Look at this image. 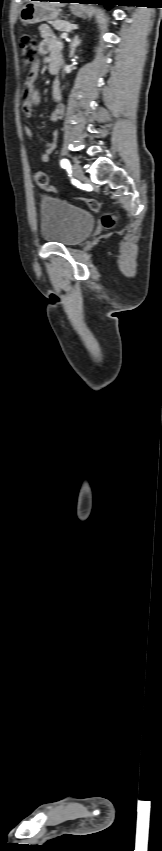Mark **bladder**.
Masks as SVG:
<instances>
[{"mask_svg":"<svg viewBox=\"0 0 162 851\" xmlns=\"http://www.w3.org/2000/svg\"><path fill=\"white\" fill-rule=\"evenodd\" d=\"M40 233L43 240L73 246L92 231L93 215L58 198L45 195L40 200Z\"/></svg>","mask_w":162,"mask_h":851,"instance_id":"obj_1","label":"bladder"}]
</instances>
